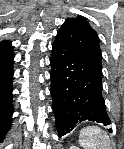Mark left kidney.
<instances>
[{
    "label": "left kidney",
    "instance_id": "obj_1",
    "mask_svg": "<svg viewBox=\"0 0 124 149\" xmlns=\"http://www.w3.org/2000/svg\"><path fill=\"white\" fill-rule=\"evenodd\" d=\"M70 149H78V148L75 146H71Z\"/></svg>",
    "mask_w": 124,
    "mask_h": 149
}]
</instances>
